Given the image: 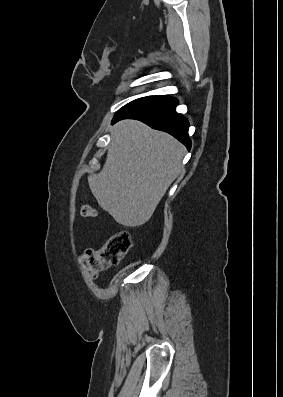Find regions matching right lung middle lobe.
Segmentation results:
<instances>
[{"label": "right lung middle lobe", "instance_id": "right-lung-middle-lobe-1", "mask_svg": "<svg viewBox=\"0 0 283 397\" xmlns=\"http://www.w3.org/2000/svg\"><path fill=\"white\" fill-rule=\"evenodd\" d=\"M144 98H147V97L139 98V99H136V100H134V101H132V102L126 104V105L123 106L117 113H119L120 111H122L123 109L127 108L128 106H130V105H132V104H134V103H136V102H138V101H140V100H142V99H144ZM117 113H116V114H117Z\"/></svg>", "mask_w": 283, "mask_h": 397}]
</instances>
